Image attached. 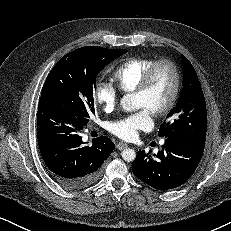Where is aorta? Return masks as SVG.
I'll return each mask as SVG.
<instances>
[{
	"label": "aorta",
	"instance_id": "1",
	"mask_svg": "<svg viewBox=\"0 0 231 231\" xmlns=\"http://www.w3.org/2000/svg\"><path fill=\"white\" fill-rule=\"evenodd\" d=\"M121 106L126 111H135L139 108L132 94H126L121 99ZM122 158L126 162H132L136 158V153L133 149L127 148L122 151Z\"/></svg>",
	"mask_w": 231,
	"mask_h": 231
}]
</instances>
